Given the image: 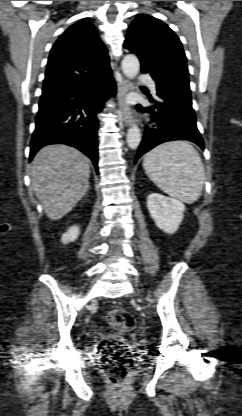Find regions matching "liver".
<instances>
[{
  "instance_id": "1",
  "label": "liver",
  "mask_w": 242,
  "mask_h": 416,
  "mask_svg": "<svg viewBox=\"0 0 242 416\" xmlns=\"http://www.w3.org/2000/svg\"><path fill=\"white\" fill-rule=\"evenodd\" d=\"M89 159L64 145L43 147L32 162L31 186L51 220L62 218L89 187Z\"/></svg>"
}]
</instances>
